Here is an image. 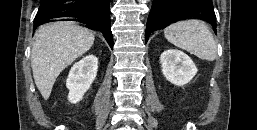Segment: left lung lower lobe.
Wrapping results in <instances>:
<instances>
[{
    "mask_svg": "<svg viewBox=\"0 0 257 130\" xmlns=\"http://www.w3.org/2000/svg\"><path fill=\"white\" fill-rule=\"evenodd\" d=\"M191 18L209 22L216 31V16L211 0H153L147 20L145 43L151 32Z\"/></svg>",
    "mask_w": 257,
    "mask_h": 130,
    "instance_id": "1",
    "label": "left lung lower lobe"
}]
</instances>
